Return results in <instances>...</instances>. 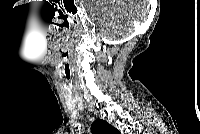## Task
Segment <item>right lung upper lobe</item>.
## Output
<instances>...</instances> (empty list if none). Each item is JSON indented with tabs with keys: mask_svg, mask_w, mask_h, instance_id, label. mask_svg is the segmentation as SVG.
I'll return each mask as SVG.
<instances>
[{
	"mask_svg": "<svg viewBox=\"0 0 200 134\" xmlns=\"http://www.w3.org/2000/svg\"><path fill=\"white\" fill-rule=\"evenodd\" d=\"M92 133L117 134L118 130L116 128H114L113 126H111L106 121L98 119V120L94 121V123H93Z\"/></svg>",
	"mask_w": 200,
	"mask_h": 134,
	"instance_id": "right-lung-upper-lobe-1",
	"label": "right lung upper lobe"
}]
</instances>
